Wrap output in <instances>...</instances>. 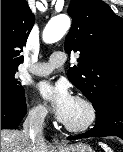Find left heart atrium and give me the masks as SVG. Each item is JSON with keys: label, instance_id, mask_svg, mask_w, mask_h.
<instances>
[{"label": "left heart atrium", "instance_id": "1", "mask_svg": "<svg viewBox=\"0 0 123 152\" xmlns=\"http://www.w3.org/2000/svg\"><path fill=\"white\" fill-rule=\"evenodd\" d=\"M39 96L49 105L59 120L65 122L74 98L63 82L42 81L37 87Z\"/></svg>", "mask_w": 123, "mask_h": 152}]
</instances>
